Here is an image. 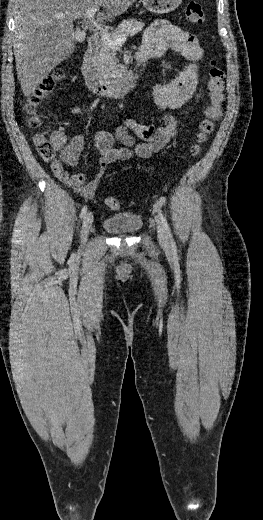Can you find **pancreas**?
<instances>
[{
    "label": "pancreas",
    "mask_w": 263,
    "mask_h": 520,
    "mask_svg": "<svg viewBox=\"0 0 263 520\" xmlns=\"http://www.w3.org/2000/svg\"><path fill=\"white\" fill-rule=\"evenodd\" d=\"M144 27V23L137 19L123 20L118 27L110 33L113 38L134 36ZM100 51L94 57L95 66L100 75L109 81L119 77L122 66L116 57V49L110 47L104 40H100Z\"/></svg>",
    "instance_id": "cf45deb5"
}]
</instances>
